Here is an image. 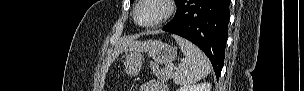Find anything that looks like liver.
<instances>
[{
  "instance_id": "liver-1",
  "label": "liver",
  "mask_w": 304,
  "mask_h": 91,
  "mask_svg": "<svg viewBox=\"0 0 304 91\" xmlns=\"http://www.w3.org/2000/svg\"><path fill=\"white\" fill-rule=\"evenodd\" d=\"M148 42L135 41L132 38L123 39L114 49L110 58L106 59L105 72L110 64L123 51H143Z\"/></svg>"
}]
</instances>
